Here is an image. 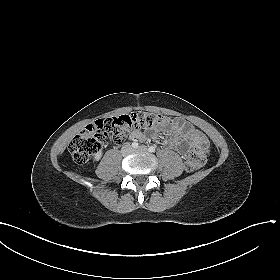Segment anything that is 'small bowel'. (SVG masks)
<instances>
[{
	"label": "small bowel",
	"mask_w": 280,
	"mask_h": 280,
	"mask_svg": "<svg viewBox=\"0 0 280 280\" xmlns=\"http://www.w3.org/2000/svg\"><path fill=\"white\" fill-rule=\"evenodd\" d=\"M166 126V123L162 125V127ZM171 127L174 136L176 137L174 146L181 153H185L188 146L192 144L201 143L207 145L206 137L201 132L194 129L188 122L177 118L172 122ZM131 138L133 140H143L145 138V134L139 130H135L131 133Z\"/></svg>",
	"instance_id": "c3829d8e"
}]
</instances>
